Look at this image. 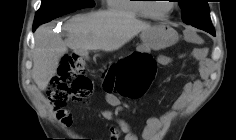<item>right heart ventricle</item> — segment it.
I'll use <instances>...</instances> for the list:
<instances>
[{
  "instance_id": "e07e8e85",
  "label": "right heart ventricle",
  "mask_w": 236,
  "mask_h": 140,
  "mask_svg": "<svg viewBox=\"0 0 236 140\" xmlns=\"http://www.w3.org/2000/svg\"><path fill=\"white\" fill-rule=\"evenodd\" d=\"M141 0H109L108 6L116 12L128 13L134 16H148L144 4L139 3Z\"/></svg>"
}]
</instances>
